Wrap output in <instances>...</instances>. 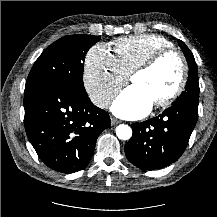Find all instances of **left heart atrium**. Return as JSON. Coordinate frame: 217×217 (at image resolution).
<instances>
[{
    "instance_id": "39dd6f15",
    "label": "left heart atrium",
    "mask_w": 217,
    "mask_h": 217,
    "mask_svg": "<svg viewBox=\"0 0 217 217\" xmlns=\"http://www.w3.org/2000/svg\"><path fill=\"white\" fill-rule=\"evenodd\" d=\"M152 106L151 99L138 86L131 85L115 98L111 109L122 118L137 119L148 114Z\"/></svg>"
}]
</instances>
